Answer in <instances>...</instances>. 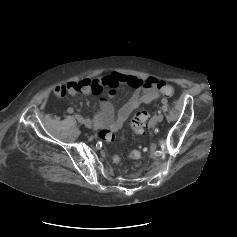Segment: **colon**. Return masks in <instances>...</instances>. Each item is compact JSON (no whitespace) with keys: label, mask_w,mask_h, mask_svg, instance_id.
<instances>
[{"label":"colon","mask_w":237,"mask_h":237,"mask_svg":"<svg viewBox=\"0 0 237 237\" xmlns=\"http://www.w3.org/2000/svg\"><path fill=\"white\" fill-rule=\"evenodd\" d=\"M160 92L167 97H171L174 95V88L167 82L165 81H160L158 85ZM149 113L146 110H141L138 111L132 118L131 120V127L133 131L138 135V136H144L146 131L145 128L147 126L148 120H149ZM98 137L102 141L105 142H113L116 139V135L113 131L108 130V129H101L98 132ZM141 155V151L139 149L133 150L130 153L131 158H138ZM115 161L119 160L118 156L114 157Z\"/></svg>","instance_id":"1"}]
</instances>
